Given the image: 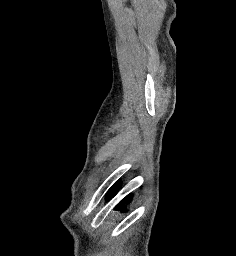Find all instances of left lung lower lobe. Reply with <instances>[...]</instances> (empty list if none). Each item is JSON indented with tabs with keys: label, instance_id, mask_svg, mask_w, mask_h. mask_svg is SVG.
I'll return each instance as SVG.
<instances>
[{
	"label": "left lung lower lobe",
	"instance_id": "obj_1",
	"mask_svg": "<svg viewBox=\"0 0 236 256\" xmlns=\"http://www.w3.org/2000/svg\"><path fill=\"white\" fill-rule=\"evenodd\" d=\"M117 188H118V184H117V183L114 184V185L110 188L109 193H108V195H107V199H109V198H111L112 196L115 195V193L117 192ZM129 200H130V197L125 198V199L123 200V202L127 203ZM117 209L123 210L122 206H119V205L117 206Z\"/></svg>",
	"mask_w": 236,
	"mask_h": 256
}]
</instances>
